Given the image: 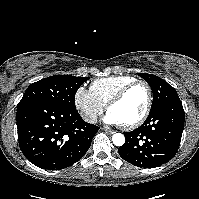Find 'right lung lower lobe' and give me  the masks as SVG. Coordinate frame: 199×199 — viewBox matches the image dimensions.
Wrapping results in <instances>:
<instances>
[{"mask_svg":"<svg viewBox=\"0 0 199 199\" xmlns=\"http://www.w3.org/2000/svg\"><path fill=\"white\" fill-rule=\"evenodd\" d=\"M20 149L37 167L67 168L89 149L99 127L81 118L77 110L45 101L17 105Z\"/></svg>","mask_w":199,"mask_h":199,"instance_id":"98d812e1","label":"right lung lower lobe"}]
</instances>
